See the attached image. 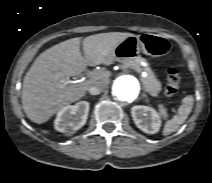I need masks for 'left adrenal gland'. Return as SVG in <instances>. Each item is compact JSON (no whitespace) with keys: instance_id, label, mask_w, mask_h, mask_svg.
<instances>
[{"instance_id":"obj_1","label":"left adrenal gland","mask_w":212,"mask_h":183,"mask_svg":"<svg viewBox=\"0 0 212 183\" xmlns=\"http://www.w3.org/2000/svg\"><path fill=\"white\" fill-rule=\"evenodd\" d=\"M142 96H143V97H146V94H143Z\"/></svg>"}]
</instances>
